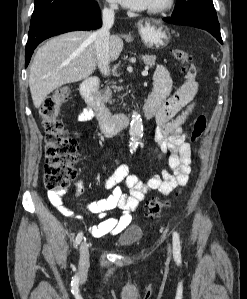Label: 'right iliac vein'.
<instances>
[{"instance_id": "right-iliac-vein-1", "label": "right iliac vein", "mask_w": 247, "mask_h": 299, "mask_svg": "<svg viewBox=\"0 0 247 299\" xmlns=\"http://www.w3.org/2000/svg\"><path fill=\"white\" fill-rule=\"evenodd\" d=\"M79 253L81 270L84 271L89 263V245L86 241L80 244Z\"/></svg>"}]
</instances>
